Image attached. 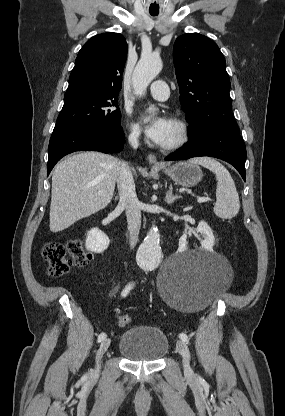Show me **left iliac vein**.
Segmentation results:
<instances>
[{"label":"left iliac vein","instance_id":"1","mask_svg":"<svg viewBox=\"0 0 285 416\" xmlns=\"http://www.w3.org/2000/svg\"><path fill=\"white\" fill-rule=\"evenodd\" d=\"M176 349L179 352V354L183 357V364H184V373L186 375H192L193 371L190 366V352L183 341H177Z\"/></svg>","mask_w":285,"mask_h":416}]
</instances>
